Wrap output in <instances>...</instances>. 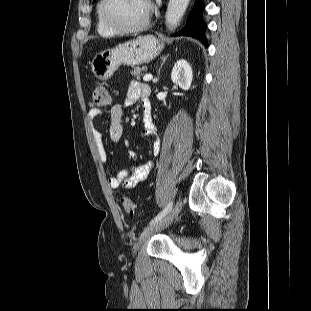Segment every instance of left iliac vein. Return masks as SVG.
Here are the masks:
<instances>
[{
  "instance_id": "4c4485c4",
  "label": "left iliac vein",
  "mask_w": 311,
  "mask_h": 311,
  "mask_svg": "<svg viewBox=\"0 0 311 311\" xmlns=\"http://www.w3.org/2000/svg\"><path fill=\"white\" fill-rule=\"evenodd\" d=\"M182 201L181 199H179L177 201V203L175 204V206L173 207L172 210H170V212L164 217L162 218L160 221L152 224L151 226H149L148 228H146L140 238L139 241L134 245V253L137 252V250L140 248V246L146 242L153 234H155L158 231H161L165 228H167L172 222L173 220L178 216V214L180 213L181 209H182Z\"/></svg>"
}]
</instances>
